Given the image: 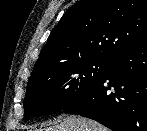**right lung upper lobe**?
<instances>
[{
    "label": "right lung upper lobe",
    "instance_id": "1",
    "mask_svg": "<svg viewBox=\"0 0 147 131\" xmlns=\"http://www.w3.org/2000/svg\"><path fill=\"white\" fill-rule=\"evenodd\" d=\"M147 39V0H80L53 28L31 77L86 59L113 60Z\"/></svg>",
    "mask_w": 147,
    "mask_h": 131
}]
</instances>
